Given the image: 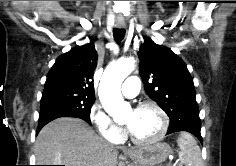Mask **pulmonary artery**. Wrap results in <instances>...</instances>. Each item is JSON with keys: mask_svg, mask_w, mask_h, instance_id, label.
Listing matches in <instances>:
<instances>
[{"mask_svg": "<svg viewBox=\"0 0 236 166\" xmlns=\"http://www.w3.org/2000/svg\"><path fill=\"white\" fill-rule=\"evenodd\" d=\"M140 88V79L133 75L126 79L122 86V94L127 98L135 97Z\"/></svg>", "mask_w": 236, "mask_h": 166, "instance_id": "pulmonary-artery-1", "label": "pulmonary artery"}]
</instances>
